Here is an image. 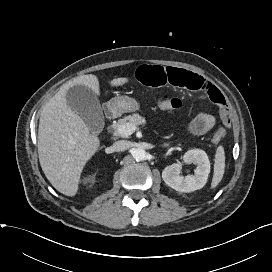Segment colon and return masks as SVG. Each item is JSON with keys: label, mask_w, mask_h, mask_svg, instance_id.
<instances>
[{"label": "colon", "mask_w": 272, "mask_h": 272, "mask_svg": "<svg viewBox=\"0 0 272 272\" xmlns=\"http://www.w3.org/2000/svg\"><path fill=\"white\" fill-rule=\"evenodd\" d=\"M183 106V102L174 97L164 96L157 101V107L163 111H174ZM226 136V132L223 128H218L214 133L212 140L215 143L222 141Z\"/></svg>", "instance_id": "1"}]
</instances>
